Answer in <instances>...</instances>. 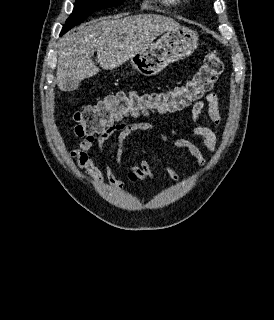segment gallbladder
I'll return each mask as SVG.
<instances>
[{
  "instance_id": "obj_1",
  "label": "gallbladder",
  "mask_w": 274,
  "mask_h": 320,
  "mask_svg": "<svg viewBox=\"0 0 274 320\" xmlns=\"http://www.w3.org/2000/svg\"><path fill=\"white\" fill-rule=\"evenodd\" d=\"M66 84H67V89L68 90H75L76 85L79 84V79L78 78H67L66 79Z\"/></svg>"
}]
</instances>
